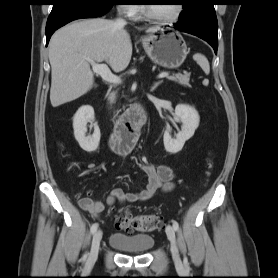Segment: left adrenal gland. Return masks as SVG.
Returning <instances> with one entry per match:
<instances>
[{"label": "left adrenal gland", "instance_id": "obj_1", "mask_svg": "<svg viewBox=\"0 0 278 278\" xmlns=\"http://www.w3.org/2000/svg\"><path fill=\"white\" fill-rule=\"evenodd\" d=\"M161 83H162L161 81L156 82V83L152 86L151 92H153Z\"/></svg>", "mask_w": 278, "mask_h": 278}]
</instances>
